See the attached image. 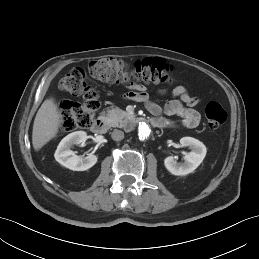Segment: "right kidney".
Here are the masks:
<instances>
[{"instance_id": "obj_1", "label": "right kidney", "mask_w": 259, "mask_h": 259, "mask_svg": "<svg viewBox=\"0 0 259 259\" xmlns=\"http://www.w3.org/2000/svg\"><path fill=\"white\" fill-rule=\"evenodd\" d=\"M86 138L87 134L84 131H76L64 137L55 151L56 161L73 171H85L94 166L97 162L96 155L89 154L82 158L70 149L73 145L84 142Z\"/></svg>"}]
</instances>
